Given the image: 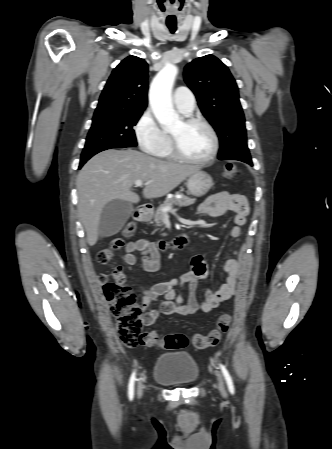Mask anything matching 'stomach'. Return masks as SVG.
Instances as JSON below:
<instances>
[{
  "label": "stomach",
  "mask_w": 332,
  "mask_h": 449,
  "mask_svg": "<svg viewBox=\"0 0 332 449\" xmlns=\"http://www.w3.org/2000/svg\"><path fill=\"white\" fill-rule=\"evenodd\" d=\"M213 186L211 176L201 170L190 175L187 179V188L191 195L195 197H202L208 193Z\"/></svg>",
  "instance_id": "stomach-1"
}]
</instances>
